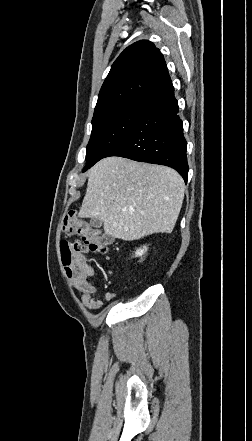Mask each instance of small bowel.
Listing matches in <instances>:
<instances>
[{
    "label": "small bowel",
    "instance_id": "1",
    "mask_svg": "<svg viewBox=\"0 0 252 441\" xmlns=\"http://www.w3.org/2000/svg\"><path fill=\"white\" fill-rule=\"evenodd\" d=\"M94 276L95 270L87 265L85 279L73 282L74 287L81 293L83 304L92 311L100 309L103 304L100 290L93 280ZM103 298L106 301H111L114 298V294L111 292H105Z\"/></svg>",
    "mask_w": 252,
    "mask_h": 441
}]
</instances>
